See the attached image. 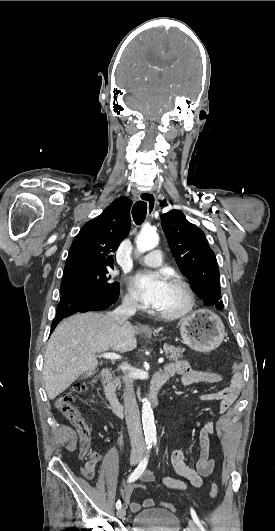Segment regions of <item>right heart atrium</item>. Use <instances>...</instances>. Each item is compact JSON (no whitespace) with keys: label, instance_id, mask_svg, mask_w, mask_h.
I'll return each instance as SVG.
<instances>
[{"label":"right heart atrium","instance_id":"1","mask_svg":"<svg viewBox=\"0 0 275 531\" xmlns=\"http://www.w3.org/2000/svg\"><path fill=\"white\" fill-rule=\"evenodd\" d=\"M124 304L130 311H136L140 307L137 297L132 292L126 293Z\"/></svg>","mask_w":275,"mask_h":531}]
</instances>
